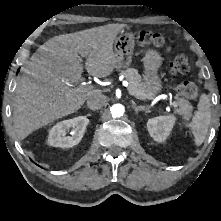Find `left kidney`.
I'll return each instance as SVG.
<instances>
[{"instance_id":"1","label":"left kidney","mask_w":221,"mask_h":221,"mask_svg":"<svg viewBox=\"0 0 221 221\" xmlns=\"http://www.w3.org/2000/svg\"><path fill=\"white\" fill-rule=\"evenodd\" d=\"M176 118L172 115L158 116L149 119L147 128L151 137L157 142H164L169 136Z\"/></svg>"}]
</instances>
